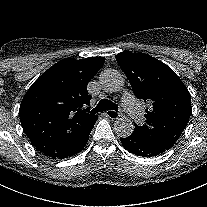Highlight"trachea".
Masks as SVG:
<instances>
[{"label":"trachea","mask_w":207,"mask_h":207,"mask_svg":"<svg viewBox=\"0 0 207 207\" xmlns=\"http://www.w3.org/2000/svg\"><path fill=\"white\" fill-rule=\"evenodd\" d=\"M106 110H115V111H118V106L115 103L111 102L110 100L103 99L91 111V114H95V113H98V112H104Z\"/></svg>","instance_id":"trachea-1"}]
</instances>
